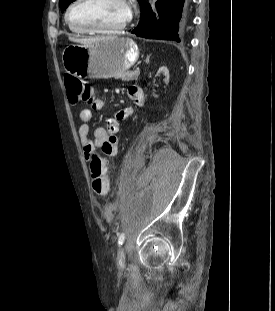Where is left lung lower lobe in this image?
<instances>
[{
  "mask_svg": "<svg viewBox=\"0 0 275 311\" xmlns=\"http://www.w3.org/2000/svg\"><path fill=\"white\" fill-rule=\"evenodd\" d=\"M189 0H158L160 20H155L151 6L147 0L141 4V16L132 34L149 39L180 41L187 23Z\"/></svg>",
  "mask_w": 275,
  "mask_h": 311,
  "instance_id": "0a47b994",
  "label": "left lung lower lobe"
}]
</instances>
